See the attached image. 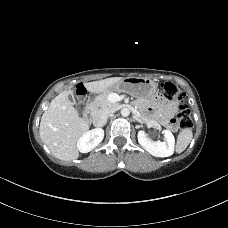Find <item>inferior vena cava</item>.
Instances as JSON below:
<instances>
[{
  "label": "inferior vena cava",
  "mask_w": 228,
  "mask_h": 228,
  "mask_svg": "<svg viewBox=\"0 0 228 228\" xmlns=\"http://www.w3.org/2000/svg\"><path fill=\"white\" fill-rule=\"evenodd\" d=\"M111 112H100L98 114H96L93 117V124L96 127H102L106 124L108 117L110 116Z\"/></svg>",
  "instance_id": "obj_1"
}]
</instances>
